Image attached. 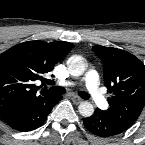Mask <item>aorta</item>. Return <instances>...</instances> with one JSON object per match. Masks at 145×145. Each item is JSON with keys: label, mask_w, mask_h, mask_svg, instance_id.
I'll use <instances>...</instances> for the list:
<instances>
[{"label": "aorta", "mask_w": 145, "mask_h": 145, "mask_svg": "<svg viewBox=\"0 0 145 145\" xmlns=\"http://www.w3.org/2000/svg\"><path fill=\"white\" fill-rule=\"evenodd\" d=\"M67 64H68V70L70 74L73 76L82 75L86 69L84 60L81 56H77V55L71 56L68 59ZM78 110L83 117H90L94 113L93 105L87 101L80 103Z\"/></svg>", "instance_id": "aorta-1"}]
</instances>
